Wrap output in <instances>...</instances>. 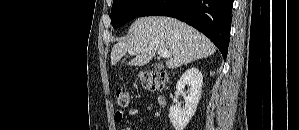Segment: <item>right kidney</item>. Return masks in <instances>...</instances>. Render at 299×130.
Masks as SVG:
<instances>
[{"mask_svg":"<svg viewBox=\"0 0 299 130\" xmlns=\"http://www.w3.org/2000/svg\"><path fill=\"white\" fill-rule=\"evenodd\" d=\"M202 84V73L195 67L186 70L178 80L176 89L185 99V108L172 105L169 109V118L175 130H183L194 116L201 98ZM185 86L189 88L187 95L184 92Z\"/></svg>","mask_w":299,"mask_h":130,"instance_id":"right-kidney-1","label":"right kidney"}]
</instances>
